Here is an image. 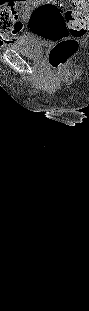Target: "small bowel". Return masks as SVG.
<instances>
[{
    "mask_svg": "<svg viewBox=\"0 0 89 311\" xmlns=\"http://www.w3.org/2000/svg\"><path fill=\"white\" fill-rule=\"evenodd\" d=\"M20 31V26H17L14 30L12 31H5L2 34V37L5 39V42L3 45H6L7 43H9L10 41L15 40V36L19 33ZM22 35L19 36V38H21ZM12 39V40H11Z\"/></svg>",
    "mask_w": 89,
    "mask_h": 311,
    "instance_id": "small-bowel-1",
    "label": "small bowel"
}]
</instances>
